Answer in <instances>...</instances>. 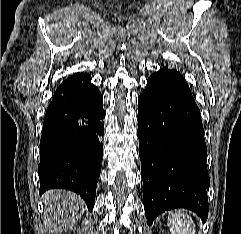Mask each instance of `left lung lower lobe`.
I'll list each match as a JSON object with an SVG mask.
<instances>
[{
  "label": "left lung lower lobe",
  "instance_id": "0a47b994",
  "mask_svg": "<svg viewBox=\"0 0 241 234\" xmlns=\"http://www.w3.org/2000/svg\"><path fill=\"white\" fill-rule=\"evenodd\" d=\"M138 138L147 223L162 212L187 208L208 217L207 147L189 86L176 70L160 69L138 101Z\"/></svg>",
  "mask_w": 241,
  "mask_h": 234
}]
</instances>
